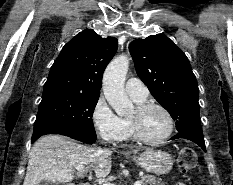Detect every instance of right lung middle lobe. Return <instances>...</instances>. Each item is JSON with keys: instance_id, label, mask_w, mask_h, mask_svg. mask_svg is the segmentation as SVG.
I'll list each match as a JSON object with an SVG mask.
<instances>
[{"instance_id": "right-lung-middle-lobe-1", "label": "right lung middle lobe", "mask_w": 233, "mask_h": 185, "mask_svg": "<svg viewBox=\"0 0 233 185\" xmlns=\"http://www.w3.org/2000/svg\"><path fill=\"white\" fill-rule=\"evenodd\" d=\"M99 95L65 91L43 92L35 121L32 142L44 134L96 137L92 116Z\"/></svg>"}]
</instances>
